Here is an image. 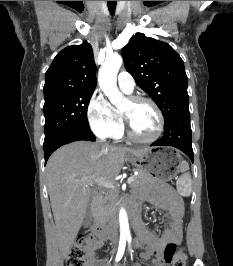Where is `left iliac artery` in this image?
<instances>
[{
    "label": "left iliac artery",
    "mask_w": 233,
    "mask_h": 266,
    "mask_svg": "<svg viewBox=\"0 0 233 266\" xmlns=\"http://www.w3.org/2000/svg\"><path fill=\"white\" fill-rule=\"evenodd\" d=\"M128 243H129V244L131 243V238H130V237L128 238Z\"/></svg>",
    "instance_id": "1"
}]
</instances>
